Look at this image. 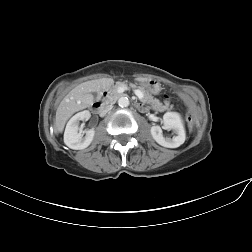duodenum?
Wrapping results in <instances>:
<instances>
[{"instance_id": "1", "label": "duodenum", "mask_w": 252, "mask_h": 252, "mask_svg": "<svg viewBox=\"0 0 252 252\" xmlns=\"http://www.w3.org/2000/svg\"><path fill=\"white\" fill-rule=\"evenodd\" d=\"M110 90H108L107 92H104L100 99L96 100L93 105L92 108L94 111L99 112L103 109V104H104V100L109 96Z\"/></svg>"}]
</instances>
